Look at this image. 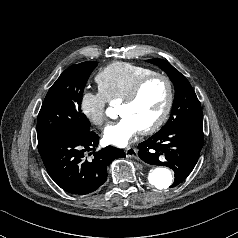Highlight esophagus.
I'll return each instance as SVG.
<instances>
[{
  "label": "esophagus",
  "mask_w": 238,
  "mask_h": 238,
  "mask_svg": "<svg viewBox=\"0 0 238 238\" xmlns=\"http://www.w3.org/2000/svg\"><path fill=\"white\" fill-rule=\"evenodd\" d=\"M125 154L127 157L137 158V149H135L133 147H129L125 150Z\"/></svg>",
  "instance_id": "esophagus-1"
}]
</instances>
